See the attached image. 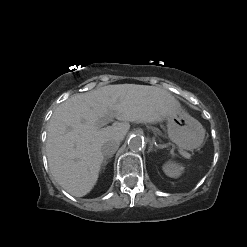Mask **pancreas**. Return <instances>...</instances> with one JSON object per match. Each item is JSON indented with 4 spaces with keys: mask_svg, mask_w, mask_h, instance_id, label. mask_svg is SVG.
Listing matches in <instances>:
<instances>
[{
    "mask_svg": "<svg viewBox=\"0 0 247 247\" xmlns=\"http://www.w3.org/2000/svg\"><path fill=\"white\" fill-rule=\"evenodd\" d=\"M183 154L186 156V157H190V154L186 153V152H183Z\"/></svg>",
    "mask_w": 247,
    "mask_h": 247,
    "instance_id": "obj_1",
    "label": "pancreas"
}]
</instances>
